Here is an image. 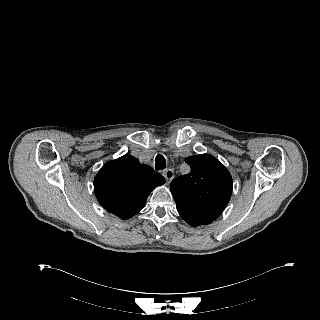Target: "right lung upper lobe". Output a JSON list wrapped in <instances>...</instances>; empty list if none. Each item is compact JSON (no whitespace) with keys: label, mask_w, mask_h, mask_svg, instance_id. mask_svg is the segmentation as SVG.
Returning a JSON list of instances; mask_svg holds the SVG:
<instances>
[{"label":"right lung upper lobe","mask_w":320,"mask_h":320,"mask_svg":"<svg viewBox=\"0 0 320 320\" xmlns=\"http://www.w3.org/2000/svg\"><path fill=\"white\" fill-rule=\"evenodd\" d=\"M165 183L150 166L126 154L107 162L94 178L99 203L121 219H129L145 205L150 192Z\"/></svg>","instance_id":"right-lung-upper-lobe-1"}]
</instances>
